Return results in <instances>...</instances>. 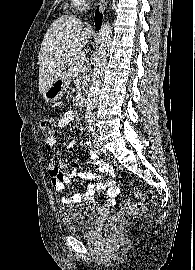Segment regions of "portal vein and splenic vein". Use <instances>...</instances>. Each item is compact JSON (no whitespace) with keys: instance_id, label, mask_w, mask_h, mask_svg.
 <instances>
[{"instance_id":"1","label":"portal vein and splenic vein","mask_w":195,"mask_h":270,"mask_svg":"<svg viewBox=\"0 0 195 270\" xmlns=\"http://www.w3.org/2000/svg\"><path fill=\"white\" fill-rule=\"evenodd\" d=\"M74 55L77 60L82 61L85 59V53L83 51H77Z\"/></svg>"}]
</instances>
